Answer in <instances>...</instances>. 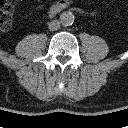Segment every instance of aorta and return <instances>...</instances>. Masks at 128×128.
Masks as SVG:
<instances>
[{
  "mask_svg": "<svg viewBox=\"0 0 128 128\" xmlns=\"http://www.w3.org/2000/svg\"><path fill=\"white\" fill-rule=\"evenodd\" d=\"M60 23L63 26H70L74 23L75 16L71 11H64L60 14Z\"/></svg>",
  "mask_w": 128,
  "mask_h": 128,
  "instance_id": "obj_1",
  "label": "aorta"
}]
</instances>
